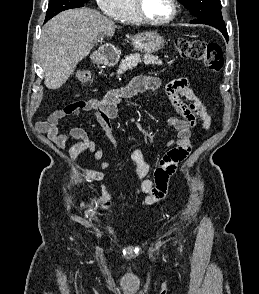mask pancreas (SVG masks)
<instances>
[{"instance_id": "obj_1", "label": "pancreas", "mask_w": 259, "mask_h": 294, "mask_svg": "<svg viewBox=\"0 0 259 294\" xmlns=\"http://www.w3.org/2000/svg\"><path fill=\"white\" fill-rule=\"evenodd\" d=\"M144 63L146 65L148 64H156L161 65L162 60L158 59L157 56L151 55V54H145L144 56H141L140 54H131L129 56H126L125 59L122 60L118 73L121 74L125 71L131 70L134 67H136L139 63Z\"/></svg>"}]
</instances>
